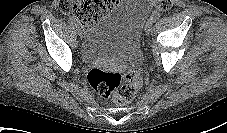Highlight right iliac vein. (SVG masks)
Masks as SVG:
<instances>
[{
	"label": "right iliac vein",
	"instance_id": "obj_1",
	"mask_svg": "<svg viewBox=\"0 0 227 133\" xmlns=\"http://www.w3.org/2000/svg\"><path fill=\"white\" fill-rule=\"evenodd\" d=\"M76 31L79 36H82V30L78 24L76 25Z\"/></svg>",
	"mask_w": 227,
	"mask_h": 133
}]
</instances>
